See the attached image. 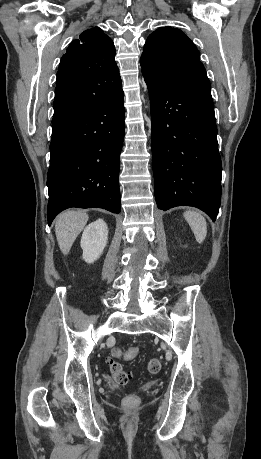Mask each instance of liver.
Returning <instances> with one entry per match:
<instances>
[{"mask_svg":"<svg viewBox=\"0 0 261 459\" xmlns=\"http://www.w3.org/2000/svg\"><path fill=\"white\" fill-rule=\"evenodd\" d=\"M88 214L69 210L62 213L56 220L55 233L61 252L67 255L80 232L88 221Z\"/></svg>","mask_w":261,"mask_h":459,"instance_id":"obj_1","label":"liver"}]
</instances>
